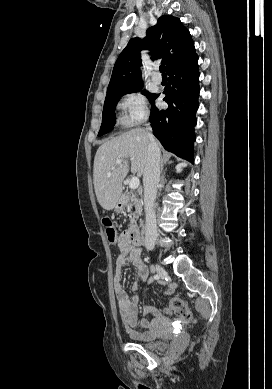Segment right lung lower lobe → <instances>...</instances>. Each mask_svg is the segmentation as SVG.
Wrapping results in <instances>:
<instances>
[{
	"mask_svg": "<svg viewBox=\"0 0 272 389\" xmlns=\"http://www.w3.org/2000/svg\"><path fill=\"white\" fill-rule=\"evenodd\" d=\"M168 75L169 82L163 91L168 108L159 110L152 102L150 122L153 134L166 150L193 162L195 115L200 91L197 54L171 68ZM158 96L156 94L155 99Z\"/></svg>",
	"mask_w": 272,
	"mask_h": 389,
	"instance_id": "1",
	"label": "right lung lower lobe"
}]
</instances>
